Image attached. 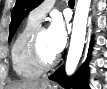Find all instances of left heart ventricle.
Listing matches in <instances>:
<instances>
[{"instance_id":"obj_1","label":"left heart ventricle","mask_w":107,"mask_h":89,"mask_svg":"<svg viewBox=\"0 0 107 89\" xmlns=\"http://www.w3.org/2000/svg\"><path fill=\"white\" fill-rule=\"evenodd\" d=\"M39 51L42 56V58L45 61H51L57 53L54 52L52 49L50 42H49V36H48V31L45 30L40 34L39 37Z\"/></svg>"}]
</instances>
